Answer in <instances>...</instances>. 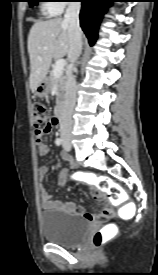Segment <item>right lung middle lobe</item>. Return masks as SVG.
<instances>
[{
  "instance_id": "dd1d6c3e",
  "label": "right lung middle lobe",
  "mask_w": 158,
  "mask_h": 275,
  "mask_svg": "<svg viewBox=\"0 0 158 275\" xmlns=\"http://www.w3.org/2000/svg\"><path fill=\"white\" fill-rule=\"evenodd\" d=\"M30 6L37 5L38 0H28Z\"/></svg>"
}]
</instances>
